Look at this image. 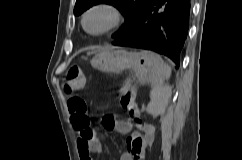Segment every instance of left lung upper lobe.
Listing matches in <instances>:
<instances>
[{
	"mask_svg": "<svg viewBox=\"0 0 242 160\" xmlns=\"http://www.w3.org/2000/svg\"><path fill=\"white\" fill-rule=\"evenodd\" d=\"M147 2L148 0H77L74 7V14L80 15L91 6L99 3L115 6L125 17L124 25L119 32L114 35V38L118 39L131 31L134 22L142 14Z\"/></svg>",
	"mask_w": 242,
	"mask_h": 160,
	"instance_id": "left-lung-upper-lobe-1",
	"label": "left lung upper lobe"
}]
</instances>
